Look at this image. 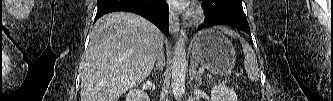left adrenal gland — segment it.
<instances>
[{"instance_id":"left-adrenal-gland-1","label":"left adrenal gland","mask_w":333,"mask_h":101,"mask_svg":"<svg viewBox=\"0 0 333 101\" xmlns=\"http://www.w3.org/2000/svg\"><path fill=\"white\" fill-rule=\"evenodd\" d=\"M189 75H190V80L191 81H193V79H195L197 82L201 83V75L196 70V67H195L193 61H191V65H190V69H189Z\"/></svg>"}]
</instances>
